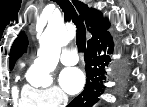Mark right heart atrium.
Here are the masks:
<instances>
[{"label": "right heart atrium", "mask_w": 147, "mask_h": 107, "mask_svg": "<svg viewBox=\"0 0 147 107\" xmlns=\"http://www.w3.org/2000/svg\"><path fill=\"white\" fill-rule=\"evenodd\" d=\"M22 96L41 107H60L67 103V96L53 85L41 89L26 85Z\"/></svg>", "instance_id": "1"}]
</instances>
